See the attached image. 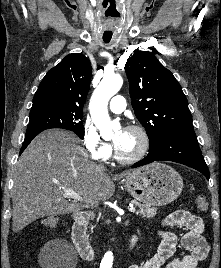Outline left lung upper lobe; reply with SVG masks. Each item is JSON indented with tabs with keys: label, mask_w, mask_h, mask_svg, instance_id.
<instances>
[{
	"label": "left lung upper lobe",
	"mask_w": 221,
	"mask_h": 268,
	"mask_svg": "<svg viewBox=\"0 0 221 268\" xmlns=\"http://www.w3.org/2000/svg\"><path fill=\"white\" fill-rule=\"evenodd\" d=\"M125 71L134 113L150 144L175 131L194 130L180 84L151 52H135Z\"/></svg>",
	"instance_id": "obj_1"
}]
</instances>
